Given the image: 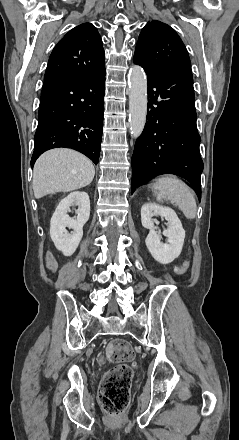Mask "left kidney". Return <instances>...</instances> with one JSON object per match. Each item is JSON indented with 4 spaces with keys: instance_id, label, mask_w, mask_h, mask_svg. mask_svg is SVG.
Returning <instances> with one entry per match:
<instances>
[{
    "instance_id": "1",
    "label": "left kidney",
    "mask_w": 239,
    "mask_h": 440,
    "mask_svg": "<svg viewBox=\"0 0 239 440\" xmlns=\"http://www.w3.org/2000/svg\"><path fill=\"white\" fill-rule=\"evenodd\" d=\"M153 216H160L162 220H167L168 228L162 232L163 236H167V244H163L160 240V234L154 226L155 220ZM141 224L143 228L150 230L145 244L154 260L159 264H170L175 258H178L182 252L185 230L174 210L164 208L159 204H143L141 208Z\"/></svg>"
}]
</instances>
